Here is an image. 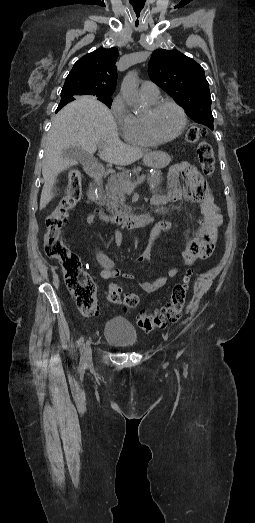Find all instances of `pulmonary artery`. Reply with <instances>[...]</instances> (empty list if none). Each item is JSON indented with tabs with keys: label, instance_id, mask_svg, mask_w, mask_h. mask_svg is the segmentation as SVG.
I'll use <instances>...</instances> for the list:
<instances>
[{
	"label": "pulmonary artery",
	"instance_id": "1",
	"mask_svg": "<svg viewBox=\"0 0 255 523\" xmlns=\"http://www.w3.org/2000/svg\"><path fill=\"white\" fill-rule=\"evenodd\" d=\"M141 95L158 98L160 91L156 84L152 82H143L140 88Z\"/></svg>",
	"mask_w": 255,
	"mask_h": 523
}]
</instances>
